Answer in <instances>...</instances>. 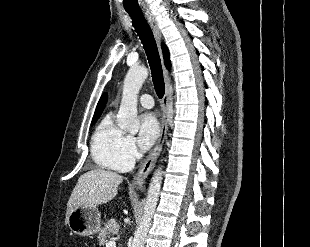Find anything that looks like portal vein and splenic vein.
Wrapping results in <instances>:
<instances>
[{
    "label": "portal vein and splenic vein",
    "mask_w": 310,
    "mask_h": 247,
    "mask_svg": "<svg viewBox=\"0 0 310 247\" xmlns=\"http://www.w3.org/2000/svg\"><path fill=\"white\" fill-rule=\"evenodd\" d=\"M106 247H116L115 241H109V242L106 244Z\"/></svg>",
    "instance_id": "obj_1"
}]
</instances>
